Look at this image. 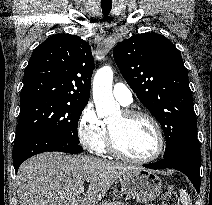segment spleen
<instances>
[{
  "label": "spleen",
  "instance_id": "spleen-1",
  "mask_svg": "<svg viewBox=\"0 0 212 205\" xmlns=\"http://www.w3.org/2000/svg\"><path fill=\"white\" fill-rule=\"evenodd\" d=\"M180 200L182 205H192L189 195L183 189H180Z\"/></svg>",
  "mask_w": 212,
  "mask_h": 205
}]
</instances>
